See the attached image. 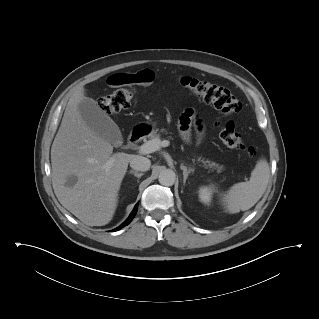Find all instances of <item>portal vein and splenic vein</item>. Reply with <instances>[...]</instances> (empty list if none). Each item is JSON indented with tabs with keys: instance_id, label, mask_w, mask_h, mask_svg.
Instances as JSON below:
<instances>
[{
	"instance_id": "1",
	"label": "portal vein and splenic vein",
	"mask_w": 319,
	"mask_h": 319,
	"mask_svg": "<svg viewBox=\"0 0 319 319\" xmlns=\"http://www.w3.org/2000/svg\"><path fill=\"white\" fill-rule=\"evenodd\" d=\"M169 146L168 140L161 141L160 139H153L147 141L139 147V152L142 154H149L159 150L161 147Z\"/></svg>"
}]
</instances>
